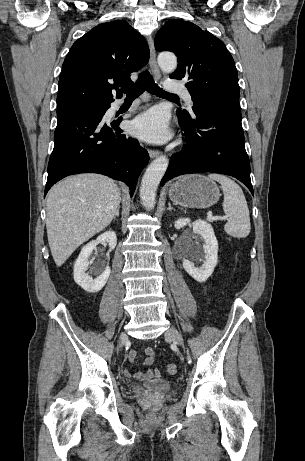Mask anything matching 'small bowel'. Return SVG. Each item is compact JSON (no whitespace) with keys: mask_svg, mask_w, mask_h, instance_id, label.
Masks as SVG:
<instances>
[{"mask_svg":"<svg viewBox=\"0 0 305 461\" xmlns=\"http://www.w3.org/2000/svg\"><path fill=\"white\" fill-rule=\"evenodd\" d=\"M140 350L146 355L145 359L142 362L143 366H151L155 361L154 350L150 347L141 348ZM136 355H137V350H131L128 354V357L131 361H133L136 358ZM150 374L152 377H159L160 372L158 369L155 368L150 371ZM124 376L127 378L134 377L135 379H141L142 373L137 372V373L132 374L128 370H125Z\"/></svg>","mask_w":305,"mask_h":461,"instance_id":"1","label":"small bowel"}]
</instances>
